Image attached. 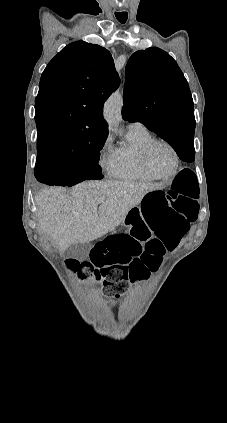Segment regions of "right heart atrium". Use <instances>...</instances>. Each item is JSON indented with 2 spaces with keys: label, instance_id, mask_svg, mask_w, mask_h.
Instances as JSON below:
<instances>
[{
  "label": "right heart atrium",
  "instance_id": "right-heart-atrium-1",
  "mask_svg": "<svg viewBox=\"0 0 227 423\" xmlns=\"http://www.w3.org/2000/svg\"><path fill=\"white\" fill-rule=\"evenodd\" d=\"M98 164L100 168L110 173L113 165V150L111 140L107 137L104 139L101 144L99 155H98Z\"/></svg>",
  "mask_w": 227,
  "mask_h": 423
}]
</instances>
